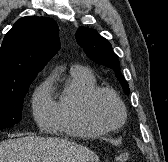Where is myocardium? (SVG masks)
Here are the masks:
<instances>
[{"label":"myocardium","mask_w":168,"mask_h":162,"mask_svg":"<svg viewBox=\"0 0 168 162\" xmlns=\"http://www.w3.org/2000/svg\"><path fill=\"white\" fill-rule=\"evenodd\" d=\"M100 94H108L116 100V102L120 108V111H121L120 121L116 125L108 126V125L102 123L98 119V117L96 116L95 111H94V104H95L96 98ZM84 110H85V114H86L88 120L94 126L103 130L104 132H111V131L119 130L120 128L123 127V125L125 124L126 119H127V110H126V106H125L122 98L120 97V95L116 91H114L113 89L108 88V87H96L93 90H91L85 98Z\"/></svg>","instance_id":"f54148a6"}]
</instances>
